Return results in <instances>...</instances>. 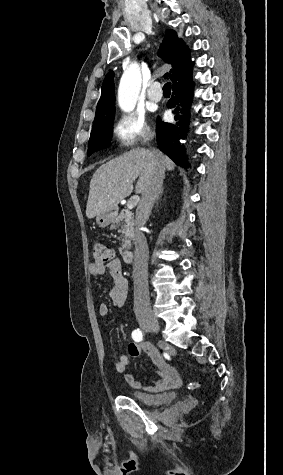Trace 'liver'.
<instances>
[{
    "label": "liver",
    "mask_w": 283,
    "mask_h": 475,
    "mask_svg": "<svg viewBox=\"0 0 283 475\" xmlns=\"http://www.w3.org/2000/svg\"><path fill=\"white\" fill-rule=\"evenodd\" d=\"M156 154L163 162L165 170H174L175 164L168 156H164L161 152ZM154 160L155 154L150 150L135 148L100 166L90 182L86 206L87 218L91 220L106 210H116L119 202L132 194L133 182L138 176L135 192L143 194L153 170Z\"/></svg>",
    "instance_id": "obj_1"
}]
</instances>
